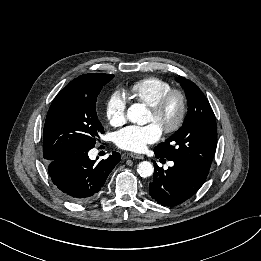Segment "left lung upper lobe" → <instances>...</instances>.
Segmentation results:
<instances>
[{
	"label": "left lung upper lobe",
	"instance_id": "5c2ea615",
	"mask_svg": "<svg viewBox=\"0 0 261 261\" xmlns=\"http://www.w3.org/2000/svg\"><path fill=\"white\" fill-rule=\"evenodd\" d=\"M176 80L185 90L188 113L182 127L165 142L158 144L154 152L208 175L217 142L215 115L195 83L181 76Z\"/></svg>",
	"mask_w": 261,
	"mask_h": 261
}]
</instances>
